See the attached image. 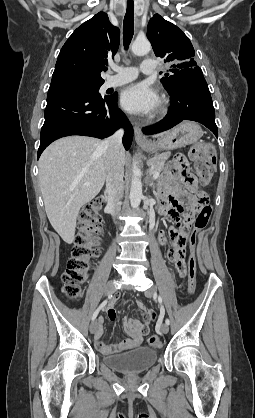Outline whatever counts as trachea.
I'll use <instances>...</instances> for the list:
<instances>
[{
	"label": "trachea",
	"instance_id": "trachea-1",
	"mask_svg": "<svg viewBox=\"0 0 255 418\" xmlns=\"http://www.w3.org/2000/svg\"><path fill=\"white\" fill-rule=\"evenodd\" d=\"M134 34V4L133 0L127 2V10L123 23L124 47L127 50Z\"/></svg>",
	"mask_w": 255,
	"mask_h": 418
}]
</instances>
